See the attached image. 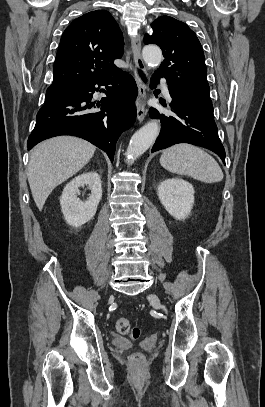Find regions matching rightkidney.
I'll return each instance as SVG.
<instances>
[{"mask_svg":"<svg viewBox=\"0 0 265 407\" xmlns=\"http://www.w3.org/2000/svg\"><path fill=\"white\" fill-rule=\"evenodd\" d=\"M88 185L91 196L82 202L77 193L80 187ZM102 198L100 175L95 171L85 172L71 180L64 188L60 197V205L67 224L80 227L90 221Z\"/></svg>","mask_w":265,"mask_h":407,"instance_id":"obj_1","label":"right kidney"}]
</instances>
